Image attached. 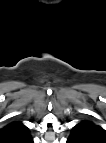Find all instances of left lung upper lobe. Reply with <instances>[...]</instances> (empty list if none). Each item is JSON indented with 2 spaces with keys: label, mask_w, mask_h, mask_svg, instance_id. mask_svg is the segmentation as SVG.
<instances>
[{
  "label": "left lung upper lobe",
  "mask_w": 106,
  "mask_h": 143,
  "mask_svg": "<svg viewBox=\"0 0 106 143\" xmlns=\"http://www.w3.org/2000/svg\"><path fill=\"white\" fill-rule=\"evenodd\" d=\"M71 135L77 137L81 143L106 142L105 130L88 120H83L76 124L72 128Z\"/></svg>",
  "instance_id": "obj_1"
}]
</instances>
